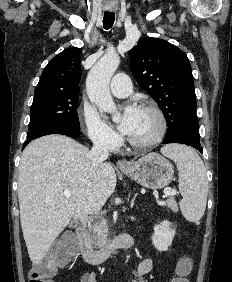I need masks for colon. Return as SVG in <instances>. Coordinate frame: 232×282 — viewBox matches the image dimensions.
Instances as JSON below:
<instances>
[{"instance_id": "obj_1", "label": "colon", "mask_w": 232, "mask_h": 282, "mask_svg": "<svg viewBox=\"0 0 232 282\" xmlns=\"http://www.w3.org/2000/svg\"><path fill=\"white\" fill-rule=\"evenodd\" d=\"M73 252L69 243H60L50 249L47 256L36 263L29 274V282H54L53 278L57 268L67 264ZM190 272V262L182 258L177 267V276L171 282H189L187 276Z\"/></svg>"}]
</instances>
